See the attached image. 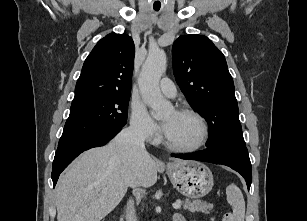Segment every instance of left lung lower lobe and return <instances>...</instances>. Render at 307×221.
<instances>
[{
	"mask_svg": "<svg viewBox=\"0 0 307 221\" xmlns=\"http://www.w3.org/2000/svg\"><path fill=\"white\" fill-rule=\"evenodd\" d=\"M172 157L226 165L239 172L246 180L248 190L252 182L249 155L233 148L218 146L191 154H171Z\"/></svg>",
	"mask_w": 307,
	"mask_h": 221,
	"instance_id": "1",
	"label": "left lung lower lobe"
}]
</instances>
